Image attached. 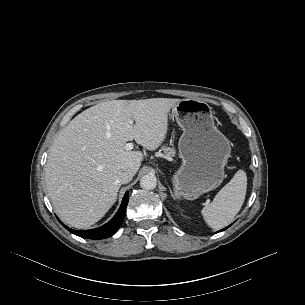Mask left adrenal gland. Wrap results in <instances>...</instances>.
Instances as JSON below:
<instances>
[{
	"label": "left adrenal gland",
	"mask_w": 305,
	"mask_h": 305,
	"mask_svg": "<svg viewBox=\"0 0 305 305\" xmlns=\"http://www.w3.org/2000/svg\"><path fill=\"white\" fill-rule=\"evenodd\" d=\"M169 189H170V187H169ZM170 193H171L172 197H174V195H173V193H172V190H171V189H170Z\"/></svg>",
	"instance_id": "left-adrenal-gland-1"
}]
</instances>
